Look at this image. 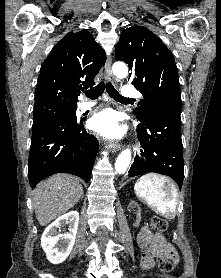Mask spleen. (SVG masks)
I'll return each instance as SVG.
<instances>
[{"mask_svg":"<svg viewBox=\"0 0 221 278\" xmlns=\"http://www.w3.org/2000/svg\"><path fill=\"white\" fill-rule=\"evenodd\" d=\"M134 191L139 199L159 215L167 219L175 218L178 193L175 185L166 177L145 174L135 183Z\"/></svg>","mask_w":221,"mask_h":278,"instance_id":"1","label":"spleen"}]
</instances>
